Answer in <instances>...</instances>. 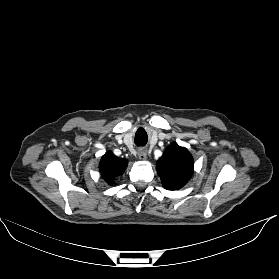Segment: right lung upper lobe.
I'll list each match as a JSON object with an SVG mask.
<instances>
[{"instance_id": "right-lung-upper-lobe-1", "label": "right lung upper lobe", "mask_w": 279, "mask_h": 279, "mask_svg": "<svg viewBox=\"0 0 279 279\" xmlns=\"http://www.w3.org/2000/svg\"><path fill=\"white\" fill-rule=\"evenodd\" d=\"M127 167V160L118 158L112 152H107L101 159L99 169L105 181L112 185L114 178L122 175Z\"/></svg>"}]
</instances>
